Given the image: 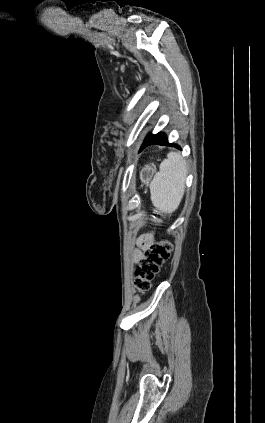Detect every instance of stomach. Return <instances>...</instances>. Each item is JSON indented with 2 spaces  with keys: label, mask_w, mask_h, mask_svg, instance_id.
<instances>
[{
  "label": "stomach",
  "mask_w": 265,
  "mask_h": 423,
  "mask_svg": "<svg viewBox=\"0 0 265 423\" xmlns=\"http://www.w3.org/2000/svg\"><path fill=\"white\" fill-rule=\"evenodd\" d=\"M148 170H150V167H147V168H146V171H148Z\"/></svg>",
  "instance_id": "0dacf381"
}]
</instances>
